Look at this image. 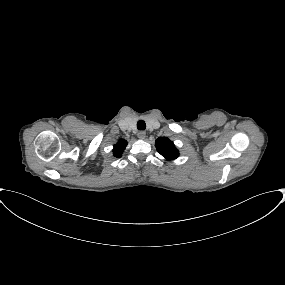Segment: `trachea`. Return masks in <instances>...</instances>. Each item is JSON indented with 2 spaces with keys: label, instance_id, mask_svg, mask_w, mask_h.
I'll list each match as a JSON object with an SVG mask.
<instances>
[{
  "label": "trachea",
  "instance_id": "obj_1",
  "mask_svg": "<svg viewBox=\"0 0 285 285\" xmlns=\"http://www.w3.org/2000/svg\"><path fill=\"white\" fill-rule=\"evenodd\" d=\"M137 128L138 130H145L146 128V123L143 120H139L137 122Z\"/></svg>",
  "mask_w": 285,
  "mask_h": 285
}]
</instances>
